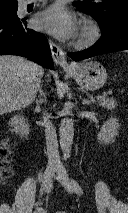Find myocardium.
<instances>
[{
    "label": "myocardium",
    "mask_w": 128,
    "mask_h": 213,
    "mask_svg": "<svg viewBox=\"0 0 128 213\" xmlns=\"http://www.w3.org/2000/svg\"><path fill=\"white\" fill-rule=\"evenodd\" d=\"M100 37L98 24L91 19H84L81 23L79 34L75 41V47L85 49L92 46Z\"/></svg>",
    "instance_id": "myocardium-1"
}]
</instances>
